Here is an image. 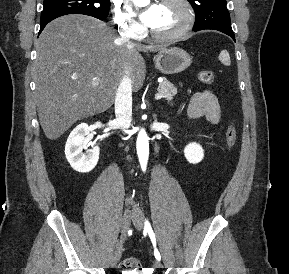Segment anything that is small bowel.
Returning <instances> with one entry per match:
<instances>
[{"instance_id":"c3829d8e","label":"small bowel","mask_w":289,"mask_h":274,"mask_svg":"<svg viewBox=\"0 0 289 274\" xmlns=\"http://www.w3.org/2000/svg\"><path fill=\"white\" fill-rule=\"evenodd\" d=\"M188 116L190 119L205 117L209 122L217 124L221 114L215 94L210 90L194 93L189 99Z\"/></svg>"}]
</instances>
